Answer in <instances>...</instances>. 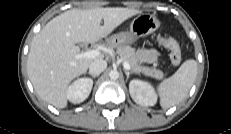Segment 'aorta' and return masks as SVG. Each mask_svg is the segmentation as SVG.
<instances>
[{"label": "aorta", "instance_id": "762f6f07", "mask_svg": "<svg viewBox=\"0 0 231 134\" xmlns=\"http://www.w3.org/2000/svg\"><path fill=\"white\" fill-rule=\"evenodd\" d=\"M109 77L113 80H116L119 78V72L117 70H111L109 72Z\"/></svg>", "mask_w": 231, "mask_h": 134}]
</instances>
